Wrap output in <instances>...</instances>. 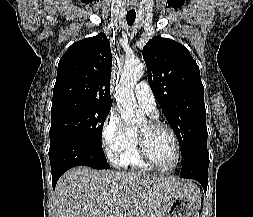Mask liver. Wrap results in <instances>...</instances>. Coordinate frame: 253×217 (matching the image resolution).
Returning a JSON list of instances; mask_svg holds the SVG:
<instances>
[{
	"label": "liver",
	"instance_id": "1",
	"mask_svg": "<svg viewBox=\"0 0 253 217\" xmlns=\"http://www.w3.org/2000/svg\"><path fill=\"white\" fill-rule=\"evenodd\" d=\"M195 198L200 190L177 177L78 166L57 182V217H163L173 200Z\"/></svg>",
	"mask_w": 253,
	"mask_h": 217
}]
</instances>
